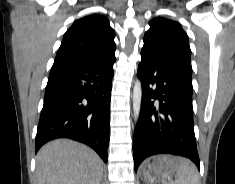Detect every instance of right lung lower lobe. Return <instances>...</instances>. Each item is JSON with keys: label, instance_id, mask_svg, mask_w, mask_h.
I'll list each match as a JSON object with an SVG mask.
<instances>
[{"label": "right lung lower lobe", "instance_id": "obj_1", "mask_svg": "<svg viewBox=\"0 0 235 184\" xmlns=\"http://www.w3.org/2000/svg\"><path fill=\"white\" fill-rule=\"evenodd\" d=\"M114 62L52 66L35 153L50 140L70 138L90 146L107 162Z\"/></svg>", "mask_w": 235, "mask_h": 184}]
</instances>
